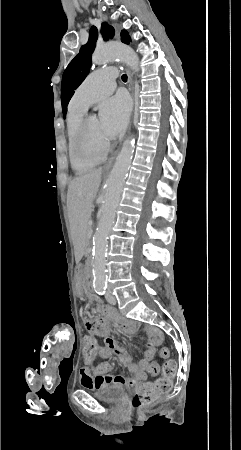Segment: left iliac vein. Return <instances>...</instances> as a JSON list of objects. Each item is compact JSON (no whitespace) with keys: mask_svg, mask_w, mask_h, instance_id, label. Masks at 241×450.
I'll list each match as a JSON object with an SVG mask.
<instances>
[{"mask_svg":"<svg viewBox=\"0 0 241 450\" xmlns=\"http://www.w3.org/2000/svg\"><path fill=\"white\" fill-rule=\"evenodd\" d=\"M105 298L110 304H116V302H117L116 298L113 297L110 292L106 293Z\"/></svg>","mask_w":241,"mask_h":450,"instance_id":"4c4485c4","label":"left iliac vein"}]
</instances>
